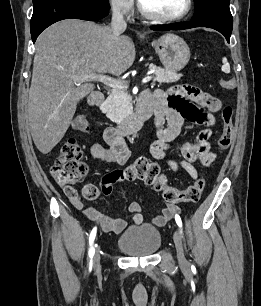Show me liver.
<instances>
[{
	"mask_svg": "<svg viewBox=\"0 0 261 306\" xmlns=\"http://www.w3.org/2000/svg\"><path fill=\"white\" fill-rule=\"evenodd\" d=\"M135 56L133 41L115 36L109 26L65 19L45 29L36 41L28 101L29 128L38 150L51 152L69 128L79 101L95 88L72 76H119Z\"/></svg>",
	"mask_w": 261,
	"mask_h": 306,
	"instance_id": "6515ba94",
	"label": "liver"
}]
</instances>
